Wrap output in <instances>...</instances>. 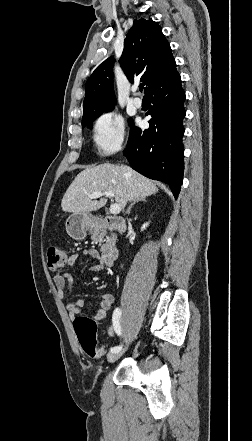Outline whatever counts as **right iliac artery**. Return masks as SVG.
Masks as SVG:
<instances>
[{
  "instance_id": "1",
  "label": "right iliac artery",
  "mask_w": 252,
  "mask_h": 441,
  "mask_svg": "<svg viewBox=\"0 0 252 441\" xmlns=\"http://www.w3.org/2000/svg\"><path fill=\"white\" fill-rule=\"evenodd\" d=\"M120 317H121V310L119 308H116L113 312V327L115 332L120 336L121 333V325H120ZM122 349V346H115L111 348V352L117 353L120 352Z\"/></svg>"
}]
</instances>
